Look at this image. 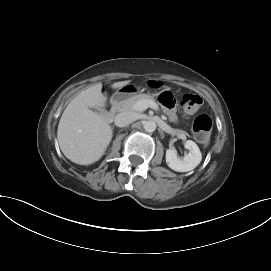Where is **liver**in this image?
I'll list each match as a JSON object with an SVG mask.
<instances>
[{
  "label": "liver",
  "mask_w": 271,
  "mask_h": 271,
  "mask_svg": "<svg viewBox=\"0 0 271 271\" xmlns=\"http://www.w3.org/2000/svg\"><path fill=\"white\" fill-rule=\"evenodd\" d=\"M130 81L115 82L118 89ZM106 96L102 84L98 83L77 95L64 110L57 131L59 146L63 154L79 165H90L98 161L111 142V126L97 112L105 106Z\"/></svg>",
  "instance_id": "obj_1"
}]
</instances>
